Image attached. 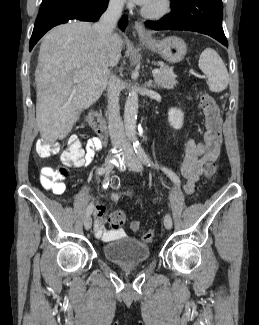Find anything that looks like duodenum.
Instances as JSON below:
<instances>
[{
    "label": "duodenum",
    "mask_w": 259,
    "mask_h": 325,
    "mask_svg": "<svg viewBox=\"0 0 259 325\" xmlns=\"http://www.w3.org/2000/svg\"><path fill=\"white\" fill-rule=\"evenodd\" d=\"M88 123L97 137L102 141L106 142L108 139L107 128L102 120L101 115L96 110H91L88 113Z\"/></svg>",
    "instance_id": "duodenum-1"
}]
</instances>
